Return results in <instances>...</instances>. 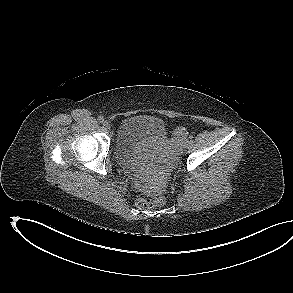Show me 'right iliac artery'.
<instances>
[{
  "label": "right iliac artery",
  "mask_w": 293,
  "mask_h": 293,
  "mask_svg": "<svg viewBox=\"0 0 293 293\" xmlns=\"http://www.w3.org/2000/svg\"><path fill=\"white\" fill-rule=\"evenodd\" d=\"M98 121H99L100 123H103V122H104V117H103V116H99V117H98Z\"/></svg>",
  "instance_id": "82829eb1"
}]
</instances>
